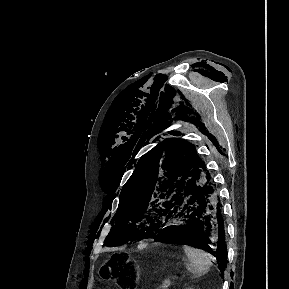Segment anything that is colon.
<instances>
[{
  "instance_id": "obj_1",
  "label": "colon",
  "mask_w": 289,
  "mask_h": 289,
  "mask_svg": "<svg viewBox=\"0 0 289 289\" xmlns=\"http://www.w3.org/2000/svg\"><path fill=\"white\" fill-rule=\"evenodd\" d=\"M101 279L114 283L120 289H134L137 270L123 259L112 257L99 271Z\"/></svg>"
}]
</instances>
